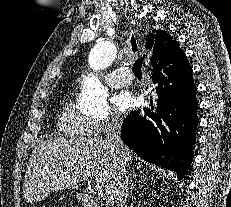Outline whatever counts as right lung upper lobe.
Returning a JSON list of instances; mask_svg holds the SVG:
<instances>
[{
  "label": "right lung upper lobe",
  "mask_w": 231,
  "mask_h": 207,
  "mask_svg": "<svg viewBox=\"0 0 231 207\" xmlns=\"http://www.w3.org/2000/svg\"><path fill=\"white\" fill-rule=\"evenodd\" d=\"M152 35L147 40V45H151L153 48V56L151 58V63H158L159 58H162V61H166L165 65L171 61L176 60H186V56L183 51L179 48L178 42L171 39L165 31H156L154 30Z\"/></svg>",
  "instance_id": "1"
}]
</instances>
